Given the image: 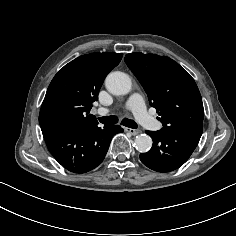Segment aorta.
<instances>
[{
    "label": "aorta",
    "instance_id": "aorta-1",
    "mask_svg": "<svg viewBox=\"0 0 236 236\" xmlns=\"http://www.w3.org/2000/svg\"><path fill=\"white\" fill-rule=\"evenodd\" d=\"M105 86L114 95H126L131 91L132 82L127 74L115 71L108 74ZM135 147L141 153L148 152L152 147V139L146 134L138 135L135 138Z\"/></svg>",
    "mask_w": 236,
    "mask_h": 236
}]
</instances>
